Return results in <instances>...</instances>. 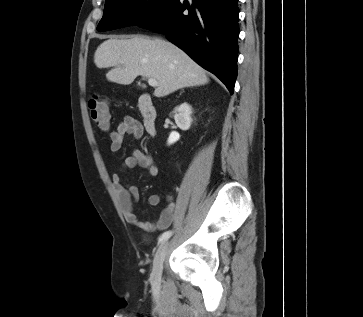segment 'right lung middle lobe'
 <instances>
[{
  "mask_svg": "<svg viewBox=\"0 0 363 317\" xmlns=\"http://www.w3.org/2000/svg\"><path fill=\"white\" fill-rule=\"evenodd\" d=\"M176 0H106L97 30L141 25L170 9Z\"/></svg>",
  "mask_w": 363,
  "mask_h": 317,
  "instance_id": "right-lung-middle-lobe-1",
  "label": "right lung middle lobe"
}]
</instances>
